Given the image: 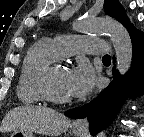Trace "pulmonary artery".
Listing matches in <instances>:
<instances>
[{
  "label": "pulmonary artery",
  "mask_w": 144,
  "mask_h": 137,
  "mask_svg": "<svg viewBox=\"0 0 144 137\" xmlns=\"http://www.w3.org/2000/svg\"><path fill=\"white\" fill-rule=\"evenodd\" d=\"M58 57L71 56L77 53L106 54L108 45L105 41L74 35H62L53 39Z\"/></svg>",
  "instance_id": "1"
}]
</instances>
